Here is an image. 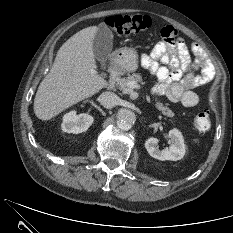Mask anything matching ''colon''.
Masks as SVG:
<instances>
[{
  "label": "colon",
  "instance_id": "obj_1",
  "mask_svg": "<svg viewBox=\"0 0 233 233\" xmlns=\"http://www.w3.org/2000/svg\"><path fill=\"white\" fill-rule=\"evenodd\" d=\"M105 23L116 34L127 35L144 32L151 26V19L144 15H115L108 17ZM193 124L198 133L207 132L211 125L209 113H198Z\"/></svg>",
  "mask_w": 233,
  "mask_h": 233
}]
</instances>
